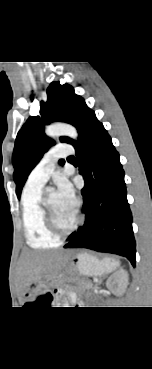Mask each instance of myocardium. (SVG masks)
<instances>
[{
	"label": "myocardium",
	"instance_id": "1",
	"mask_svg": "<svg viewBox=\"0 0 152 369\" xmlns=\"http://www.w3.org/2000/svg\"><path fill=\"white\" fill-rule=\"evenodd\" d=\"M42 210L44 213V219L47 229L50 231L52 235H54L58 239L65 238L72 234L79 226L81 222V217L79 216L78 212L76 211V217L73 224L67 228L62 229L56 222V219L48 205L47 197L42 198L41 201Z\"/></svg>",
	"mask_w": 152,
	"mask_h": 369
}]
</instances>
